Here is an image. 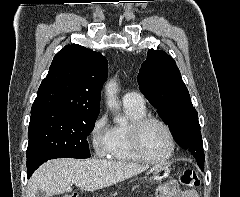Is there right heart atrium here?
<instances>
[{
  "mask_svg": "<svg viewBox=\"0 0 240 197\" xmlns=\"http://www.w3.org/2000/svg\"><path fill=\"white\" fill-rule=\"evenodd\" d=\"M90 141L97 156L108 154L111 140V127L106 114L96 118L90 129Z\"/></svg>",
  "mask_w": 240,
  "mask_h": 197,
  "instance_id": "d8ad5b80",
  "label": "right heart atrium"
}]
</instances>
